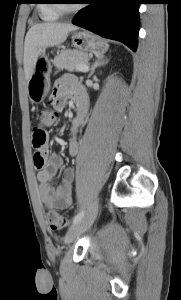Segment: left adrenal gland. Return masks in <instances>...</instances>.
<instances>
[{"label": "left adrenal gland", "instance_id": "left-adrenal-gland-1", "mask_svg": "<svg viewBox=\"0 0 181 300\" xmlns=\"http://www.w3.org/2000/svg\"><path fill=\"white\" fill-rule=\"evenodd\" d=\"M108 61L109 60L105 59V57L103 55L98 57V59L92 64L88 77L90 78L94 74L95 69L97 67L106 65L108 63Z\"/></svg>", "mask_w": 181, "mask_h": 300}]
</instances>
